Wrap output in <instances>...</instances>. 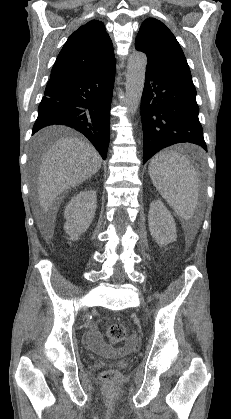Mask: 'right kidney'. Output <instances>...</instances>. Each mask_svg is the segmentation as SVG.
<instances>
[{
	"label": "right kidney",
	"mask_w": 231,
	"mask_h": 419,
	"mask_svg": "<svg viewBox=\"0 0 231 419\" xmlns=\"http://www.w3.org/2000/svg\"><path fill=\"white\" fill-rule=\"evenodd\" d=\"M97 207L95 190L81 191L74 196L65 208L64 229L72 241L79 239L92 223Z\"/></svg>",
	"instance_id": "right-kidney-1"
}]
</instances>
